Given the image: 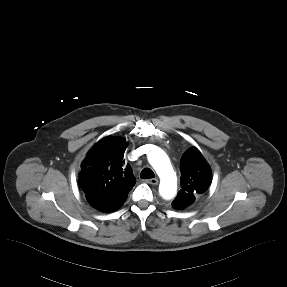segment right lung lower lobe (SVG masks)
<instances>
[{"label": "right lung lower lobe", "instance_id": "right-lung-lower-lobe-1", "mask_svg": "<svg viewBox=\"0 0 287 287\" xmlns=\"http://www.w3.org/2000/svg\"><path fill=\"white\" fill-rule=\"evenodd\" d=\"M127 195L128 194H123L119 197H115L112 199L87 198V201L97 210L108 213L120 208L125 202Z\"/></svg>", "mask_w": 287, "mask_h": 287}]
</instances>
